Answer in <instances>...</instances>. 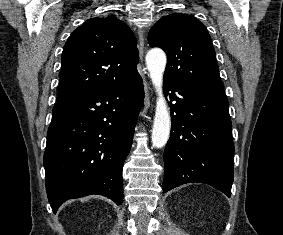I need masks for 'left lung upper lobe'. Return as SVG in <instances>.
Returning <instances> with one entry per match:
<instances>
[{
    "label": "left lung upper lobe",
    "mask_w": 283,
    "mask_h": 235,
    "mask_svg": "<svg viewBox=\"0 0 283 235\" xmlns=\"http://www.w3.org/2000/svg\"><path fill=\"white\" fill-rule=\"evenodd\" d=\"M148 42L167 54L164 77L224 94L211 37L197 18L180 13L162 17L151 28Z\"/></svg>",
    "instance_id": "left-lung-upper-lobe-1"
}]
</instances>
